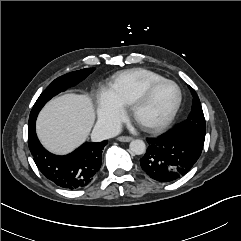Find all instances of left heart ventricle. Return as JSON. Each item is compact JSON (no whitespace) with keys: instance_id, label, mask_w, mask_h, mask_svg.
Listing matches in <instances>:
<instances>
[{"instance_id":"b2bd125f","label":"left heart ventricle","mask_w":241,"mask_h":241,"mask_svg":"<svg viewBox=\"0 0 241 241\" xmlns=\"http://www.w3.org/2000/svg\"><path fill=\"white\" fill-rule=\"evenodd\" d=\"M177 98L178 92L174 85L165 83L159 86L138 110V121L147 124L164 121L173 110Z\"/></svg>"}]
</instances>
